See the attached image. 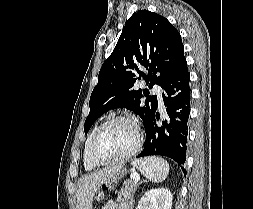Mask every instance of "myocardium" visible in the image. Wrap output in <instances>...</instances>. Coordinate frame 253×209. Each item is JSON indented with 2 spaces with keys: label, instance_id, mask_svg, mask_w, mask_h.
<instances>
[{
  "label": "myocardium",
  "instance_id": "1",
  "mask_svg": "<svg viewBox=\"0 0 253 209\" xmlns=\"http://www.w3.org/2000/svg\"><path fill=\"white\" fill-rule=\"evenodd\" d=\"M115 121H126L134 127L135 133H136L135 144L127 153H125L124 155H122L118 158L108 159V160L102 159L96 154L97 141H98L99 136H100L101 132L103 131V129L107 125H109L110 123L115 122ZM141 143H142V130H141V127H140L139 123L137 122V120L128 114H117V115L111 116L108 119H106L96 129V131L93 135V138L91 140L90 156H91L92 161L96 165H109V164L122 163V162L130 159L131 157H133L138 152V150L141 147Z\"/></svg>",
  "mask_w": 253,
  "mask_h": 209
}]
</instances>
